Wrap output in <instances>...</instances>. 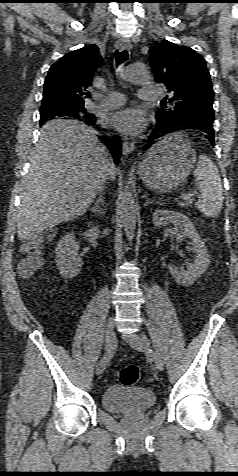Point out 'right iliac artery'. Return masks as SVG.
Segmentation results:
<instances>
[{"mask_svg": "<svg viewBox=\"0 0 238 476\" xmlns=\"http://www.w3.org/2000/svg\"><path fill=\"white\" fill-rule=\"evenodd\" d=\"M109 339V347L110 350L108 351V354H107V361H109L113 356H114V353H115V346H116V343H117V340L114 339L113 337L112 338H108ZM110 339H112V341H110Z\"/></svg>", "mask_w": 238, "mask_h": 476, "instance_id": "82829eb1", "label": "right iliac artery"}]
</instances>
